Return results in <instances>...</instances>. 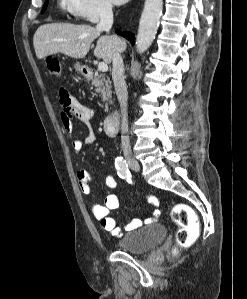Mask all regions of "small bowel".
<instances>
[{"label": "small bowel", "instance_id": "c3829d8e", "mask_svg": "<svg viewBox=\"0 0 247 299\" xmlns=\"http://www.w3.org/2000/svg\"><path fill=\"white\" fill-rule=\"evenodd\" d=\"M61 110V121L64 129L72 135L73 121L78 120L87 128V133L83 140L72 138L71 145L75 152H80L85 145H89L95 140V135L90 126V120L95 116L93 109L82 104L74 96H72L66 89L61 88L59 91ZM91 176L85 170L77 172V181L81 192L84 195L91 193ZM118 181L114 175H107L104 179V187L106 196L103 204L91 202L90 209L93 216L99 221L101 227L115 237L122 236V230L118 227L115 219L110 216V212L119 206V199L113 190L117 187ZM146 200L152 206V217L146 220L147 223L154 222L158 217L160 211L158 209L159 201L152 195H147ZM142 220L135 218L126 225V230H134L142 226Z\"/></svg>", "mask_w": 247, "mask_h": 299}]
</instances>
